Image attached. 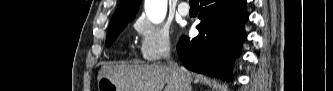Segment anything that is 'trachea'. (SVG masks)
Returning a JSON list of instances; mask_svg holds the SVG:
<instances>
[{"instance_id": "obj_1", "label": "trachea", "mask_w": 333, "mask_h": 91, "mask_svg": "<svg viewBox=\"0 0 333 91\" xmlns=\"http://www.w3.org/2000/svg\"><path fill=\"white\" fill-rule=\"evenodd\" d=\"M189 2H190V3H198L197 0H190Z\"/></svg>"}]
</instances>
